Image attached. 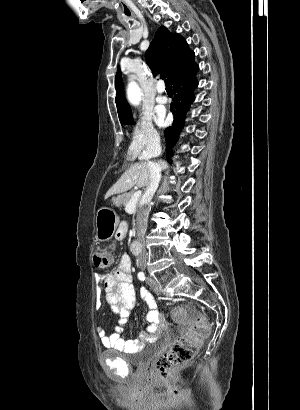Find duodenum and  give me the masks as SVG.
Here are the masks:
<instances>
[{"label":"duodenum","mask_w":300,"mask_h":410,"mask_svg":"<svg viewBox=\"0 0 300 410\" xmlns=\"http://www.w3.org/2000/svg\"><path fill=\"white\" fill-rule=\"evenodd\" d=\"M137 241H138V240H135V241H133L132 244H131V252H132L133 254H135V255H139V254H140V250H141L140 245L138 244Z\"/></svg>","instance_id":"obj_1"}]
</instances>
